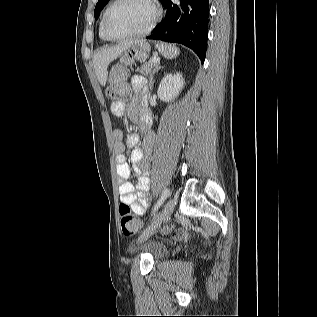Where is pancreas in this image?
Wrapping results in <instances>:
<instances>
[{"label": "pancreas", "mask_w": 317, "mask_h": 317, "mask_svg": "<svg viewBox=\"0 0 317 317\" xmlns=\"http://www.w3.org/2000/svg\"><path fill=\"white\" fill-rule=\"evenodd\" d=\"M155 64H154V62L153 61H146V62H144V64L138 69V71L141 73V74H143V75H145V76H147V75H151L152 74V71L154 70V68H155Z\"/></svg>", "instance_id": "pancreas-1"}]
</instances>
